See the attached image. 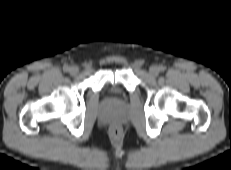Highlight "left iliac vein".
<instances>
[{
    "instance_id": "left-iliac-vein-1",
    "label": "left iliac vein",
    "mask_w": 231,
    "mask_h": 170,
    "mask_svg": "<svg viewBox=\"0 0 231 170\" xmlns=\"http://www.w3.org/2000/svg\"><path fill=\"white\" fill-rule=\"evenodd\" d=\"M149 74L156 77L159 74V68L157 66H151L149 69Z\"/></svg>"
}]
</instances>
